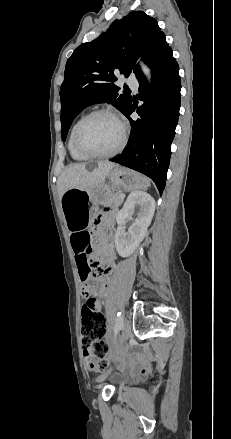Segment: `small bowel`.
I'll return each instance as SVG.
<instances>
[{
	"label": "small bowel",
	"instance_id": "obj_1",
	"mask_svg": "<svg viewBox=\"0 0 231 439\" xmlns=\"http://www.w3.org/2000/svg\"><path fill=\"white\" fill-rule=\"evenodd\" d=\"M108 218H110V214H108ZM109 231L110 234H112V229H109ZM70 242L79 275L81 269L86 268V266L91 263L92 258L94 261H98L99 286H95L92 291H88L83 285L82 291L84 295L88 296L84 305H87L92 310L100 311V298L107 289L112 264L115 258L113 245L103 235H99L96 245L94 246L95 251L92 252L93 243L91 235L86 230L73 231L70 236Z\"/></svg>",
	"mask_w": 231,
	"mask_h": 439
}]
</instances>
